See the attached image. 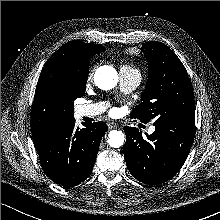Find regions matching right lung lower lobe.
<instances>
[{"label":"right lung lower lobe","instance_id":"right-lung-lower-lobe-1","mask_svg":"<svg viewBox=\"0 0 220 220\" xmlns=\"http://www.w3.org/2000/svg\"><path fill=\"white\" fill-rule=\"evenodd\" d=\"M106 123L75 127V119L59 124L33 138L44 172L66 188L83 182L92 172Z\"/></svg>","mask_w":220,"mask_h":220}]
</instances>
